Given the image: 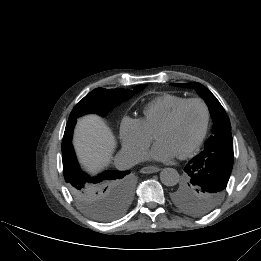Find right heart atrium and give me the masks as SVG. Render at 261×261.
Here are the masks:
<instances>
[{
    "label": "right heart atrium",
    "instance_id": "1",
    "mask_svg": "<svg viewBox=\"0 0 261 261\" xmlns=\"http://www.w3.org/2000/svg\"><path fill=\"white\" fill-rule=\"evenodd\" d=\"M153 138L140 119L125 117L122 120L120 139L125 150L141 157L151 145Z\"/></svg>",
    "mask_w": 261,
    "mask_h": 261
}]
</instances>
